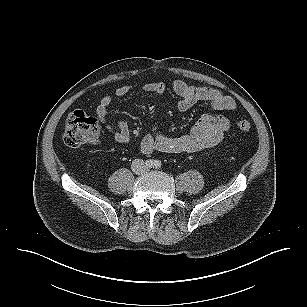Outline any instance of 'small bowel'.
Returning <instances> with one entry per match:
<instances>
[{
  "mask_svg": "<svg viewBox=\"0 0 307 307\" xmlns=\"http://www.w3.org/2000/svg\"><path fill=\"white\" fill-rule=\"evenodd\" d=\"M171 90L179 97L177 108L186 111L200 102H208L210 111L203 114L192 130L185 135L168 137L153 127L154 135L148 134L141 141L140 149L145 154L164 152L175 154L195 153L216 146L230 129V121L218 114V111H235L236 101L225 93L207 87H194L182 80H175L170 86ZM139 89L145 93L162 94L167 87L162 82H147L142 84H124L118 86L114 94L123 97L131 91ZM112 102L111 95L101 98L96 109V115L106 123L107 109ZM106 129L119 144H128L130 132L127 123L118 120L116 126L106 124Z\"/></svg>",
  "mask_w": 307,
  "mask_h": 307,
  "instance_id": "c3829d8e",
  "label": "small bowel"
}]
</instances>
